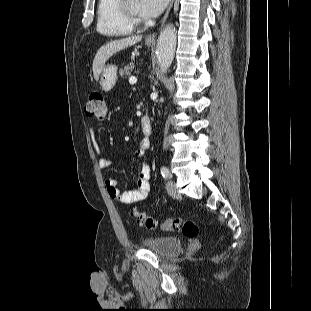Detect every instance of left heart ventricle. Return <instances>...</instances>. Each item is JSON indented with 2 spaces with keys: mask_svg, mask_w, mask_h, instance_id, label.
Listing matches in <instances>:
<instances>
[{
  "mask_svg": "<svg viewBox=\"0 0 311 311\" xmlns=\"http://www.w3.org/2000/svg\"><path fill=\"white\" fill-rule=\"evenodd\" d=\"M140 3H141L140 0H129L128 5L135 14H139Z\"/></svg>",
  "mask_w": 311,
  "mask_h": 311,
  "instance_id": "left-heart-ventricle-1",
  "label": "left heart ventricle"
}]
</instances>
